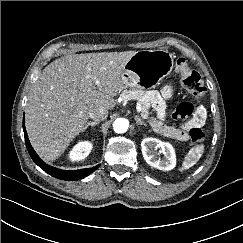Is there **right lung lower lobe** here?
<instances>
[{
    "mask_svg": "<svg viewBox=\"0 0 243 243\" xmlns=\"http://www.w3.org/2000/svg\"><path fill=\"white\" fill-rule=\"evenodd\" d=\"M24 118H23V124H24ZM23 129H24V136H25V143H26V147L27 150L32 158V160L40 167L42 168L46 173L50 174L51 176L58 178V179H62V180H77V179H81L84 178L86 176H88L89 174H91L93 171H95L99 165L93 167V168H89V169H81V170H60L54 167H51L47 164H45L40 158L39 156L36 154V152L33 150L27 133H26V129L25 126L23 125Z\"/></svg>",
    "mask_w": 243,
    "mask_h": 243,
    "instance_id": "right-lung-lower-lobe-1",
    "label": "right lung lower lobe"
}]
</instances>
